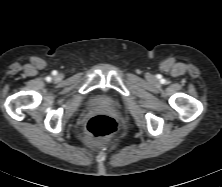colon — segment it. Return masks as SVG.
I'll use <instances>...</instances> for the list:
<instances>
[{"instance_id": "5ec220e1", "label": "colon", "mask_w": 222, "mask_h": 187, "mask_svg": "<svg viewBox=\"0 0 222 187\" xmlns=\"http://www.w3.org/2000/svg\"><path fill=\"white\" fill-rule=\"evenodd\" d=\"M88 138L101 141L106 144L116 141L117 122L106 114H98L91 117L86 124Z\"/></svg>"}]
</instances>
